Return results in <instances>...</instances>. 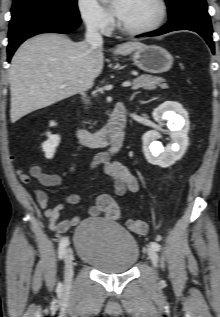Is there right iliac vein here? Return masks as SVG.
<instances>
[{"label":"right iliac vein","instance_id":"obj_1","mask_svg":"<svg viewBox=\"0 0 220 317\" xmlns=\"http://www.w3.org/2000/svg\"><path fill=\"white\" fill-rule=\"evenodd\" d=\"M64 264H65V270H64V285L66 288H68L71 285L72 279H73V273H74V267H73V253L71 248H68L64 255Z\"/></svg>","mask_w":220,"mask_h":317}]
</instances>
